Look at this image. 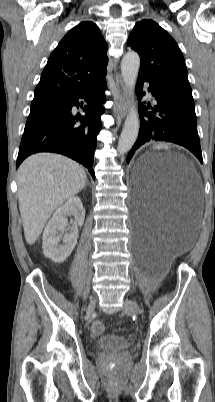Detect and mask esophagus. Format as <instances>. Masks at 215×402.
Masks as SVG:
<instances>
[{"label":"esophagus","mask_w":215,"mask_h":402,"mask_svg":"<svg viewBox=\"0 0 215 402\" xmlns=\"http://www.w3.org/2000/svg\"><path fill=\"white\" fill-rule=\"evenodd\" d=\"M116 94H117V101L115 102L114 105V113L115 114L118 113L120 117L123 119L127 113L129 92L119 74L116 75Z\"/></svg>","instance_id":"esophagus-1"}]
</instances>
